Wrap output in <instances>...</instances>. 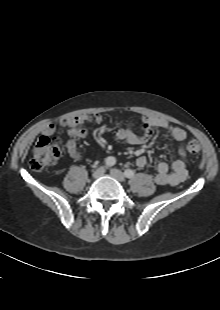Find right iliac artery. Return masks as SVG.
Segmentation results:
<instances>
[{
  "label": "right iliac artery",
  "instance_id": "right-iliac-artery-1",
  "mask_svg": "<svg viewBox=\"0 0 220 310\" xmlns=\"http://www.w3.org/2000/svg\"><path fill=\"white\" fill-rule=\"evenodd\" d=\"M115 163H116V159H115L114 157H112V156H109V157H107V158L105 159V164H106V166H108V167L113 166Z\"/></svg>",
  "mask_w": 220,
  "mask_h": 310
}]
</instances>
